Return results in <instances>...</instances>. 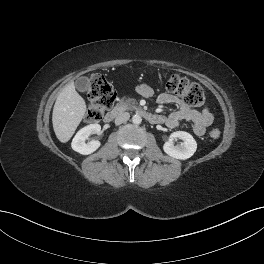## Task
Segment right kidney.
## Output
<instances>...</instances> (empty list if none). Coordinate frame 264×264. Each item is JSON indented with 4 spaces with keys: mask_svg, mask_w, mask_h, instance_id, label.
Listing matches in <instances>:
<instances>
[{
    "mask_svg": "<svg viewBox=\"0 0 264 264\" xmlns=\"http://www.w3.org/2000/svg\"><path fill=\"white\" fill-rule=\"evenodd\" d=\"M101 126L99 124H90L80 129L72 140V149L82 155H88L100 147L98 140L86 142L91 134H99Z\"/></svg>",
    "mask_w": 264,
    "mask_h": 264,
    "instance_id": "obj_1",
    "label": "right kidney"
}]
</instances>
